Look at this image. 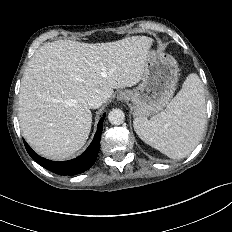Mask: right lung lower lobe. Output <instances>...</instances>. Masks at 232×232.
Listing matches in <instances>:
<instances>
[{"instance_id": "1", "label": "right lung lower lobe", "mask_w": 232, "mask_h": 232, "mask_svg": "<svg viewBox=\"0 0 232 232\" xmlns=\"http://www.w3.org/2000/svg\"><path fill=\"white\" fill-rule=\"evenodd\" d=\"M104 118H105V114H103V117H101V120L98 123L96 134L90 146L82 155H80L75 159L64 161V162H54L37 155L25 141H24V145L26 147L28 154L38 164H40L45 169L53 173L59 175H76L79 173H83L93 166L98 156L100 150V138H101Z\"/></svg>"}]
</instances>
